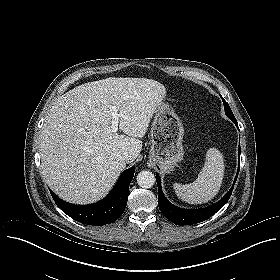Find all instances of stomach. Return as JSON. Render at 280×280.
Here are the masks:
<instances>
[{
  "label": "stomach",
  "mask_w": 280,
  "mask_h": 280,
  "mask_svg": "<svg viewBox=\"0 0 280 280\" xmlns=\"http://www.w3.org/2000/svg\"><path fill=\"white\" fill-rule=\"evenodd\" d=\"M149 160L165 172L173 171L184 156V128L181 120L167 104L155 112L150 130Z\"/></svg>",
  "instance_id": "obj_1"
}]
</instances>
